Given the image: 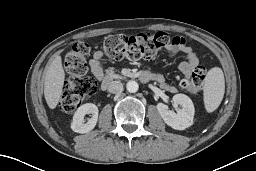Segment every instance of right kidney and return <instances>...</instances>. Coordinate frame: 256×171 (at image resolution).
<instances>
[{
    "mask_svg": "<svg viewBox=\"0 0 256 171\" xmlns=\"http://www.w3.org/2000/svg\"><path fill=\"white\" fill-rule=\"evenodd\" d=\"M91 114V118L84 123V116ZM98 119V107L93 103H86L81 105L73 116L71 129L76 133H88L94 129Z\"/></svg>",
    "mask_w": 256,
    "mask_h": 171,
    "instance_id": "right-kidney-1",
    "label": "right kidney"
}]
</instances>
